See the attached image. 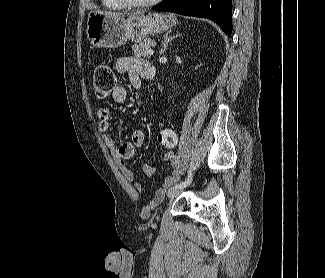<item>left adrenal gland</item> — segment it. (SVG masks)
<instances>
[{"label": "left adrenal gland", "mask_w": 325, "mask_h": 278, "mask_svg": "<svg viewBox=\"0 0 325 278\" xmlns=\"http://www.w3.org/2000/svg\"><path fill=\"white\" fill-rule=\"evenodd\" d=\"M172 31H168L165 35H164V39L162 41V48L160 50V55L164 54V52L166 51L167 49V45L169 42H171L174 38H176L177 36H180V34H176V35H173L171 36L170 33Z\"/></svg>", "instance_id": "left-adrenal-gland-1"}]
</instances>
